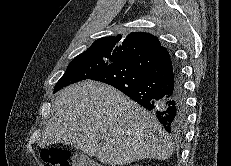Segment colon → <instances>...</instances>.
<instances>
[{"label": "colon", "mask_w": 231, "mask_h": 166, "mask_svg": "<svg viewBox=\"0 0 231 166\" xmlns=\"http://www.w3.org/2000/svg\"><path fill=\"white\" fill-rule=\"evenodd\" d=\"M40 157L44 166H70V154L60 148H50L41 152ZM83 166H99L95 163H88Z\"/></svg>", "instance_id": "5ec220e1"}]
</instances>
